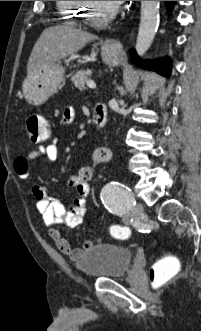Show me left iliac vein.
Returning <instances> with one entry per match:
<instances>
[{
    "label": "left iliac vein",
    "instance_id": "1",
    "mask_svg": "<svg viewBox=\"0 0 201 331\" xmlns=\"http://www.w3.org/2000/svg\"><path fill=\"white\" fill-rule=\"evenodd\" d=\"M142 211H143L142 204L141 203H137L136 206L133 209L134 215L139 216V215H141Z\"/></svg>",
    "mask_w": 201,
    "mask_h": 331
}]
</instances>
